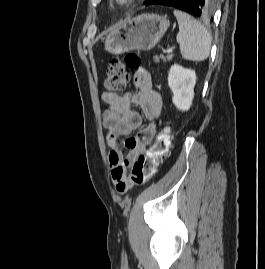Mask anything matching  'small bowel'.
<instances>
[{
  "instance_id": "small-bowel-1",
  "label": "small bowel",
  "mask_w": 265,
  "mask_h": 269,
  "mask_svg": "<svg viewBox=\"0 0 265 269\" xmlns=\"http://www.w3.org/2000/svg\"><path fill=\"white\" fill-rule=\"evenodd\" d=\"M134 83L137 92L119 95L105 91L102 94L107 106L103 114V125L107 131L111 178L117 190L122 187L125 191L130 185L128 167L145 150L155 134V126L150 123L137 135H131L142 123L141 114L134 111L131 105L137 104L149 122L159 117L162 107L161 96L155 90L147 70H137ZM122 145L128 149L126 156L123 155Z\"/></svg>"
}]
</instances>
